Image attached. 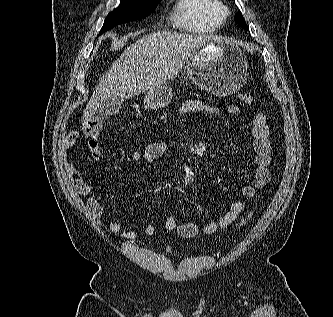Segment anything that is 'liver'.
<instances>
[{
	"label": "liver",
	"mask_w": 333,
	"mask_h": 317,
	"mask_svg": "<svg viewBox=\"0 0 333 317\" xmlns=\"http://www.w3.org/2000/svg\"><path fill=\"white\" fill-rule=\"evenodd\" d=\"M215 38L158 31L138 39L100 79L82 118L89 120L105 99L131 98L174 79L196 50Z\"/></svg>",
	"instance_id": "liver-1"
}]
</instances>
